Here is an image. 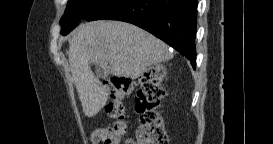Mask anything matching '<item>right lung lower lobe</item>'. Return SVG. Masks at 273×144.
Listing matches in <instances>:
<instances>
[{"instance_id": "98d812e1", "label": "right lung lower lobe", "mask_w": 273, "mask_h": 144, "mask_svg": "<svg viewBox=\"0 0 273 144\" xmlns=\"http://www.w3.org/2000/svg\"><path fill=\"white\" fill-rule=\"evenodd\" d=\"M197 0H110L89 17L120 20L154 34L196 66Z\"/></svg>"}]
</instances>
